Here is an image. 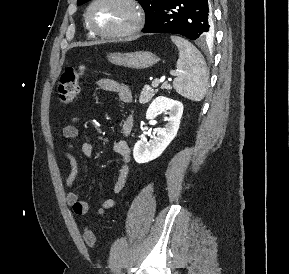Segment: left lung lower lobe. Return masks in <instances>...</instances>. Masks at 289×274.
I'll list each match as a JSON object with an SVG mask.
<instances>
[{
  "label": "left lung lower lobe",
  "instance_id": "obj_1",
  "mask_svg": "<svg viewBox=\"0 0 289 274\" xmlns=\"http://www.w3.org/2000/svg\"><path fill=\"white\" fill-rule=\"evenodd\" d=\"M142 32L179 34L205 41L213 35L208 0H165L160 13Z\"/></svg>",
  "mask_w": 289,
  "mask_h": 274
}]
</instances>
